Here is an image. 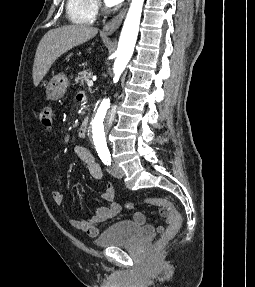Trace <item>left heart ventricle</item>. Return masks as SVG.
Here are the masks:
<instances>
[{"label":"left heart ventricle","instance_id":"left-heart-ventricle-1","mask_svg":"<svg viewBox=\"0 0 255 287\" xmlns=\"http://www.w3.org/2000/svg\"><path fill=\"white\" fill-rule=\"evenodd\" d=\"M110 48H126V47H110Z\"/></svg>","mask_w":255,"mask_h":287}]
</instances>
